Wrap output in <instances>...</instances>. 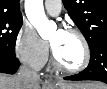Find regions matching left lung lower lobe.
I'll list each match as a JSON object with an SVG mask.
<instances>
[{"instance_id": "obj_1", "label": "left lung lower lobe", "mask_w": 107, "mask_h": 89, "mask_svg": "<svg viewBox=\"0 0 107 89\" xmlns=\"http://www.w3.org/2000/svg\"><path fill=\"white\" fill-rule=\"evenodd\" d=\"M91 58L88 67L65 80H97L107 84V39L100 40L90 47Z\"/></svg>"}]
</instances>
